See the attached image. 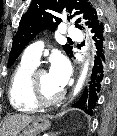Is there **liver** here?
I'll return each mask as SVG.
<instances>
[{
    "mask_svg": "<svg viewBox=\"0 0 117 136\" xmlns=\"http://www.w3.org/2000/svg\"><path fill=\"white\" fill-rule=\"evenodd\" d=\"M35 116L25 115V114H14L5 118L2 128L0 129V135L2 136H16L28 126Z\"/></svg>",
    "mask_w": 117,
    "mask_h": 136,
    "instance_id": "obj_1",
    "label": "liver"
}]
</instances>
